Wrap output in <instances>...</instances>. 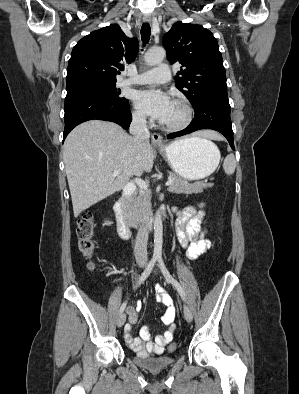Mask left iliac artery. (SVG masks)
<instances>
[{
  "instance_id": "44dca946",
  "label": "left iliac artery",
  "mask_w": 299,
  "mask_h": 394,
  "mask_svg": "<svg viewBox=\"0 0 299 394\" xmlns=\"http://www.w3.org/2000/svg\"><path fill=\"white\" fill-rule=\"evenodd\" d=\"M157 260H158L159 266H160L161 271H162L164 277L166 278V280H167L169 283H171V284L177 289V291L179 292L180 296H181L182 299L185 301L186 298H185V294H184V291H183L181 285L177 282V280H175V279L172 277V275H171L170 272L168 271V269H167V267H166V265H165V263H164V261H163L162 256H158V257H157Z\"/></svg>"
}]
</instances>
